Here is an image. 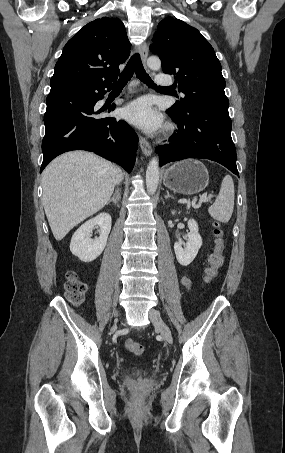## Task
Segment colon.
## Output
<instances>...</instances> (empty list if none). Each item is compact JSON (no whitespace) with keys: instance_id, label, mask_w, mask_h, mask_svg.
<instances>
[{"instance_id":"obj_1","label":"colon","mask_w":285,"mask_h":453,"mask_svg":"<svg viewBox=\"0 0 285 453\" xmlns=\"http://www.w3.org/2000/svg\"><path fill=\"white\" fill-rule=\"evenodd\" d=\"M215 246L213 252L208 258V266L205 270V282L211 283L218 275L220 268L224 263L225 249V232L223 226L219 222L214 223ZM87 285L73 271H69L66 275L65 295L67 300L78 306L85 300ZM127 350L135 355L140 356L144 352V347L138 341L128 339L126 341Z\"/></svg>"}]
</instances>
